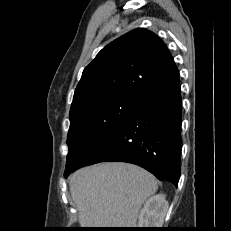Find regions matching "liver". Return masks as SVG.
<instances>
[{
    "instance_id": "6515ba94",
    "label": "liver",
    "mask_w": 231,
    "mask_h": 231,
    "mask_svg": "<svg viewBox=\"0 0 231 231\" xmlns=\"http://www.w3.org/2000/svg\"><path fill=\"white\" fill-rule=\"evenodd\" d=\"M157 189L152 174L123 162L85 167L70 178V193L83 228H135L143 203Z\"/></svg>"
}]
</instances>
